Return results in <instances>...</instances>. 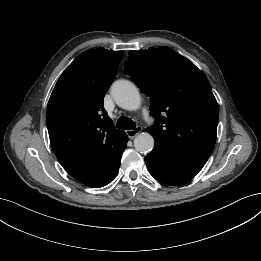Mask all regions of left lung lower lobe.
<instances>
[{
	"mask_svg": "<svg viewBox=\"0 0 261 261\" xmlns=\"http://www.w3.org/2000/svg\"><path fill=\"white\" fill-rule=\"evenodd\" d=\"M208 158L178 155L154 146L145 157V162L156 180L167 185H178L192 179L203 168Z\"/></svg>",
	"mask_w": 261,
	"mask_h": 261,
	"instance_id": "obj_1",
	"label": "left lung lower lobe"
}]
</instances>
